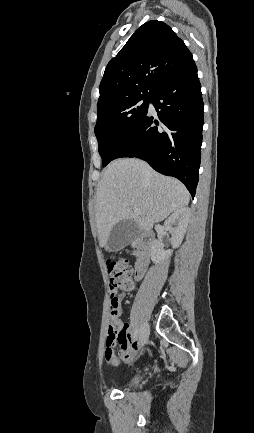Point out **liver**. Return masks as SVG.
I'll return each mask as SVG.
<instances>
[{"instance_id":"6515ba94","label":"liver","mask_w":254,"mask_h":433,"mask_svg":"<svg viewBox=\"0 0 254 433\" xmlns=\"http://www.w3.org/2000/svg\"><path fill=\"white\" fill-rule=\"evenodd\" d=\"M188 203L189 192L177 179L157 173L139 159L114 160L97 186L99 245L106 248L112 228L121 220H133L140 231H149L155 223ZM134 208L141 213H135Z\"/></svg>"}]
</instances>
